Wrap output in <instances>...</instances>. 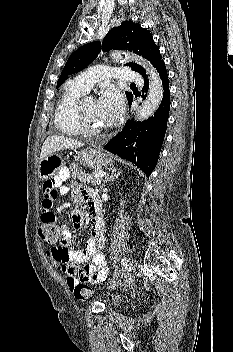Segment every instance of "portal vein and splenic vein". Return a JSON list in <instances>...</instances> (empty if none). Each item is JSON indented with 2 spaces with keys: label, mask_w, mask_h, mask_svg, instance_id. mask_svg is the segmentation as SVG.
Segmentation results:
<instances>
[{
  "label": "portal vein and splenic vein",
  "mask_w": 233,
  "mask_h": 352,
  "mask_svg": "<svg viewBox=\"0 0 233 352\" xmlns=\"http://www.w3.org/2000/svg\"><path fill=\"white\" fill-rule=\"evenodd\" d=\"M105 175H106L105 172H100V173L93 174V176L96 177V178H102V177H104Z\"/></svg>",
  "instance_id": "portal-vein-and-splenic-vein-1"
}]
</instances>
